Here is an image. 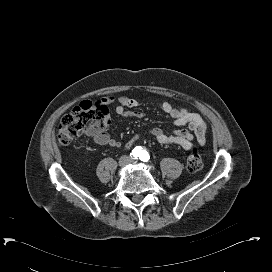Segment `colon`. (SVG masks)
I'll return each mask as SVG.
<instances>
[{
  "instance_id": "colon-1",
  "label": "colon",
  "mask_w": 272,
  "mask_h": 272,
  "mask_svg": "<svg viewBox=\"0 0 272 272\" xmlns=\"http://www.w3.org/2000/svg\"><path fill=\"white\" fill-rule=\"evenodd\" d=\"M110 124V111L105 99L84 101L64 115L58 126L57 142L67 145L87 133L102 132ZM202 158L197 148L187 156V170L196 173L202 169Z\"/></svg>"
}]
</instances>
